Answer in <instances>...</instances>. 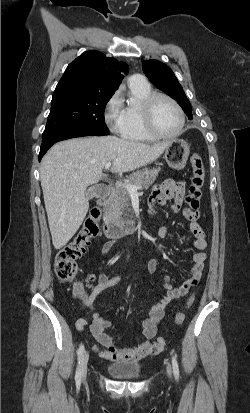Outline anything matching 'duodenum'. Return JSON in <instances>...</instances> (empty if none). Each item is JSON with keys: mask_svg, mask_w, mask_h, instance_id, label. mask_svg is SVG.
<instances>
[{"mask_svg": "<svg viewBox=\"0 0 250 413\" xmlns=\"http://www.w3.org/2000/svg\"><path fill=\"white\" fill-rule=\"evenodd\" d=\"M114 188L109 185L105 192L98 200L99 206H104L106 201L113 195ZM138 225L134 220L114 221L107 215H104L102 222V231L108 238H117L127 234L135 233Z\"/></svg>", "mask_w": 250, "mask_h": 413, "instance_id": "obj_1", "label": "duodenum"}]
</instances>
